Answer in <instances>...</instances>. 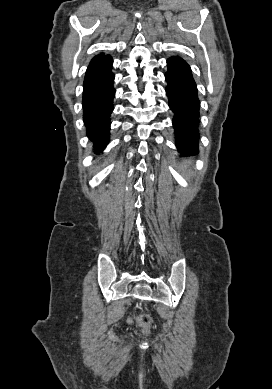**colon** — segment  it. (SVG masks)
I'll list each match as a JSON object with an SVG mask.
<instances>
[{
  "mask_svg": "<svg viewBox=\"0 0 272 389\" xmlns=\"http://www.w3.org/2000/svg\"><path fill=\"white\" fill-rule=\"evenodd\" d=\"M137 323L142 328L144 334H147L150 330L151 318L147 314H141L136 318Z\"/></svg>",
  "mask_w": 272,
  "mask_h": 389,
  "instance_id": "1",
  "label": "colon"
}]
</instances>
